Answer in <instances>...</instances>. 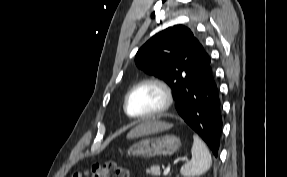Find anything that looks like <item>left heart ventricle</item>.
I'll return each mask as SVG.
<instances>
[{
  "label": "left heart ventricle",
  "instance_id": "obj_1",
  "mask_svg": "<svg viewBox=\"0 0 287 177\" xmlns=\"http://www.w3.org/2000/svg\"><path fill=\"white\" fill-rule=\"evenodd\" d=\"M161 92L153 86L136 89L130 96L128 110L131 115L140 116L155 111L162 103Z\"/></svg>",
  "mask_w": 287,
  "mask_h": 177
}]
</instances>
